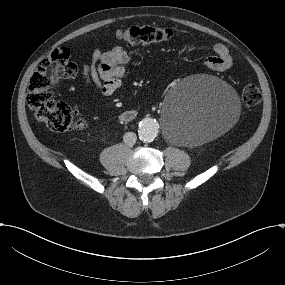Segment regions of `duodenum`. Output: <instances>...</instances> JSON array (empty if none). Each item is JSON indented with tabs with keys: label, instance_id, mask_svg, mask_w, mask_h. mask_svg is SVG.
I'll return each mask as SVG.
<instances>
[{
	"label": "duodenum",
	"instance_id": "duodenum-1",
	"mask_svg": "<svg viewBox=\"0 0 285 285\" xmlns=\"http://www.w3.org/2000/svg\"><path fill=\"white\" fill-rule=\"evenodd\" d=\"M137 116V112L134 109H127L120 113L119 118L122 122L128 123L133 121Z\"/></svg>",
	"mask_w": 285,
	"mask_h": 285
}]
</instances>
